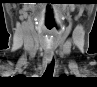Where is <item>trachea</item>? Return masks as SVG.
Here are the masks:
<instances>
[{"instance_id":"trachea-1","label":"trachea","mask_w":97,"mask_h":87,"mask_svg":"<svg viewBox=\"0 0 97 87\" xmlns=\"http://www.w3.org/2000/svg\"><path fill=\"white\" fill-rule=\"evenodd\" d=\"M54 72V60L48 65L47 69L45 70L43 74V78H50L53 76Z\"/></svg>"}]
</instances>
